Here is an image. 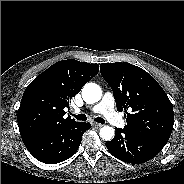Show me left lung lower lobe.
<instances>
[{"mask_svg":"<svg viewBox=\"0 0 184 184\" xmlns=\"http://www.w3.org/2000/svg\"><path fill=\"white\" fill-rule=\"evenodd\" d=\"M115 137L106 147L117 159L131 164H141L154 158L162 149L147 138L127 128H116Z\"/></svg>","mask_w":184,"mask_h":184,"instance_id":"obj_1","label":"left lung lower lobe"}]
</instances>
